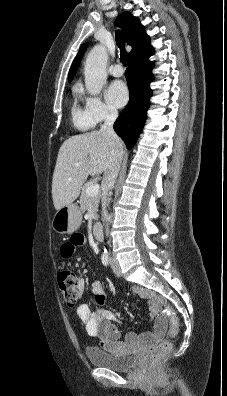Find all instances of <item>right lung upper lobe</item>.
<instances>
[{
  "label": "right lung upper lobe",
  "instance_id": "1",
  "mask_svg": "<svg viewBox=\"0 0 227 396\" xmlns=\"http://www.w3.org/2000/svg\"><path fill=\"white\" fill-rule=\"evenodd\" d=\"M116 24L122 28L127 44L132 47V50L129 53L130 58L134 56L139 50L150 44V38L148 35H146L143 25L140 23L138 18L132 16L131 13L123 12L117 17ZM86 47L87 44H84L75 57L69 70V81L72 80L74 74L76 73Z\"/></svg>",
  "mask_w": 227,
  "mask_h": 396
}]
</instances>
